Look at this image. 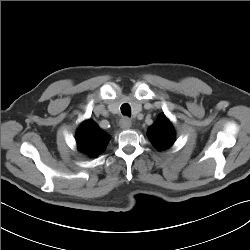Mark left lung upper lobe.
<instances>
[{"label": "left lung upper lobe", "instance_id": "5c2ea615", "mask_svg": "<svg viewBox=\"0 0 250 250\" xmlns=\"http://www.w3.org/2000/svg\"><path fill=\"white\" fill-rule=\"evenodd\" d=\"M148 136L159 150L169 148L175 141L173 126L164 114L160 115L157 121L149 127Z\"/></svg>", "mask_w": 250, "mask_h": 250}]
</instances>
